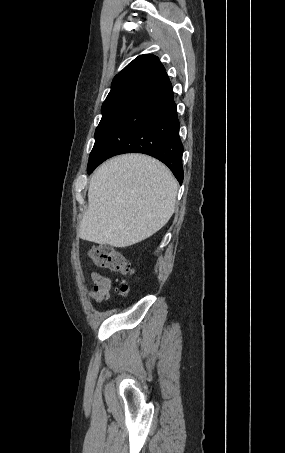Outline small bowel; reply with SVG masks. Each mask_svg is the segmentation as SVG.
<instances>
[{
	"label": "small bowel",
	"instance_id": "small-bowel-1",
	"mask_svg": "<svg viewBox=\"0 0 285 453\" xmlns=\"http://www.w3.org/2000/svg\"><path fill=\"white\" fill-rule=\"evenodd\" d=\"M91 279L94 283V287L89 290L88 296L91 300L101 303L110 292L111 282L107 277L96 272L91 274Z\"/></svg>",
	"mask_w": 285,
	"mask_h": 453
}]
</instances>
